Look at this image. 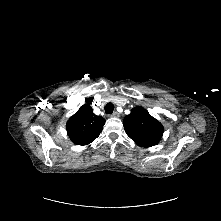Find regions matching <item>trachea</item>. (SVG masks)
<instances>
[{"mask_svg":"<svg viewBox=\"0 0 221 221\" xmlns=\"http://www.w3.org/2000/svg\"><path fill=\"white\" fill-rule=\"evenodd\" d=\"M114 110V105L112 103H107L105 106V113L112 114Z\"/></svg>","mask_w":221,"mask_h":221,"instance_id":"3493384b","label":"trachea"}]
</instances>
